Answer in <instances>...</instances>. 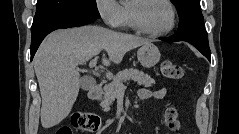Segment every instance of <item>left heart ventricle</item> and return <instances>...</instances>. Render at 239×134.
Masks as SVG:
<instances>
[{"instance_id":"b2bd125f","label":"left heart ventricle","mask_w":239,"mask_h":134,"mask_svg":"<svg viewBox=\"0 0 239 134\" xmlns=\"http://www.w3.org/2000/svg\"><path fill=\"white\" fill-rule=\"evenodd\" d=\"M139 17L142 24L152 31L164 30L171 21L169 8L159 0L145 2L139 9Z\"/></svg>"}]
</instances>
